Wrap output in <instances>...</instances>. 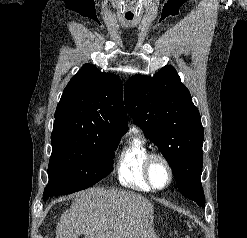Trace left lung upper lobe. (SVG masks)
Segmentation results:
<instances>
[{
    "instance_id": "1",
    "label": "left lung upper lobe",
    "mask_w": 247,
    "mask_h": 238,
    "mask_svg": "<svg viewBox=\"0 0 247 238\" xmlns=\"http://www.w3.org/2000/svg\"><path fill=\"white\" fill-rule=\"evenodd\" d=\"M124 100L129 115L170 164L180 192L204 207L201 117L175 68L165 66L153 77L132 76Z\"/></svg>"
}]
</instances>
